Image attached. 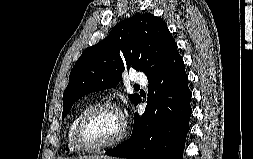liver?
<instances>
[{"label":"liver","mask_w":253,"mask_h":159,"mask_svg":"<svg viewBox=\"0 0 253 159\" xmlns=\"http://www.w3.org/2000/svg\"><path fill=\"white\" fill-rule=\"evenodd\" d=\"M102 158H112L104 155H91V156H80L77 159H102Z\"/></svg>","instance_id":"liver-1"}]
</instances>
